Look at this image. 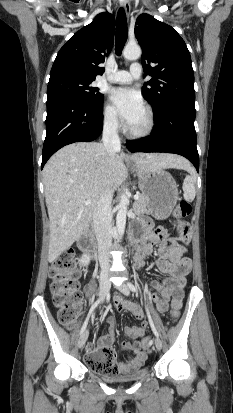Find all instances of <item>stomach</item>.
Instances as JSON below:
<instances>
[{"instance_id": "1", "label": "stomach", "mask_w": 233, "mask_h": 413, "mask_svg": "<svg viewBox=\"0 0 233 413\" xmlns=\"http://www.w3.org/2000/svg\"><path fill=\"white\" fill-rule=\"evenodd\" d=\"M139 188L149 202V213L157 219L170 216L178 200V189L174 178L166 171L159 169L138 172Z\"/></svg>"}]
</instances>
